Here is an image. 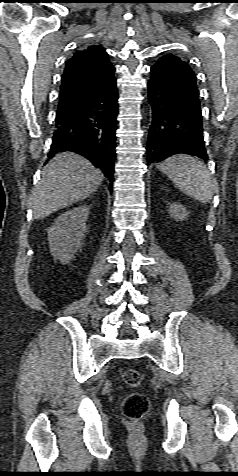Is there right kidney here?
Returning a JSON list of instances; mask_svg holds the SVG:
<instances>
[{
    "label": "right kidney",
    "mask_w": 238,
    "mask_h": 476,
    "mask_svg": "<svg viewBox=\"0 0 238 476\" xmlns=\"http://www.w3.org/2000/svg\"><path fill=\"white\" fill-rule=\"evenodd\" d=\"M89 210L87 205L69 210L61 214L49 228V249L55 260L66 264L78 251L87 231Z\"/></svg>",
    "instance_id": "ca27d5eb"
}]
</instances>
